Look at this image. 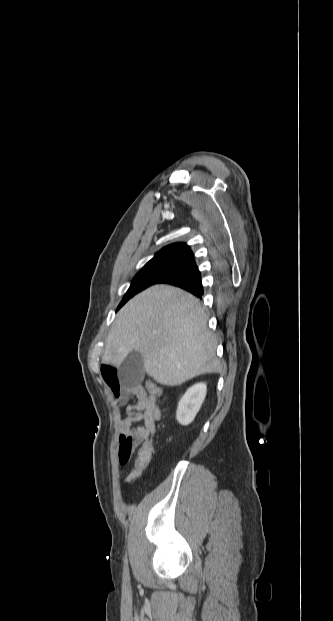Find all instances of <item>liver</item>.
I'll return each mask as SVG.
<instances>
[{"mask_svg":"<svg viewBox=\"0 0 333 621\" xmlns=\"http://www.w3.org/2000/svg\"><path fill=\"white\" fill-rule=\"evenodd\" d=\"M216 347L199 300L180 288L155 285L118 312L102 362L119 367L136 351L150 377L162 385L176 386L218 372Z\"/></svg>","mask_w":333,"mask_h":621,"instance_id":"1","label":"liver"}]
</instances>
